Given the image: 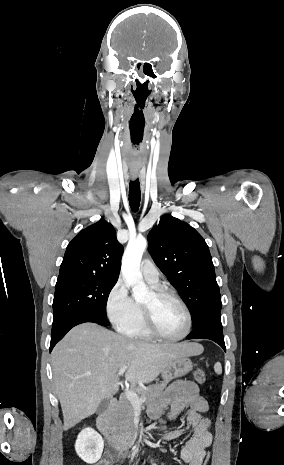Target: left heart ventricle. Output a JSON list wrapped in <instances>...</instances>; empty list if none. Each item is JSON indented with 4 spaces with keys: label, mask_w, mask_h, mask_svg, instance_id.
I'll use <instances>...</instances> for the list:
<instances>
[{
    "label": "left heart ventricle",
    "mask_w": 284,
    "mask_h": 465,
    "mask_svg": "<svg viewBox=\"0 0 284 465\" xmlns=\"http://www.w3.org/2000/svg\"><path fill=\"white\" fill-rule=\"evenodd\" d=\"M142 305L153 307L155 314L154 325L160 335L175 338L184 333L187 320L184 311L178 304L170 300L156 301L153 293Z\"/></svg>",
    "instance_id": "1"
}]
</instances>
